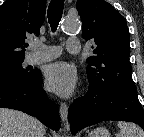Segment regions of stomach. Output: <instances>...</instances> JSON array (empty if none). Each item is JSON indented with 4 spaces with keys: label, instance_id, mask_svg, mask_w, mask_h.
<instances>
[{
    "label": "stomach",
    "instance_id": "1",
    "mask_svg": "<svg viewBox=\"0 0 144 137\" xmlns=\"http://www.w3.org/2000/svg\"><path fill=\"white\" fill-rule=\"evenodd\" d=\"M88 137H110V133L106 128L98 127L91 131Z\"/></svg>",
    "mask_w": 144,
    "mask_h": 137
}]
</instances>
